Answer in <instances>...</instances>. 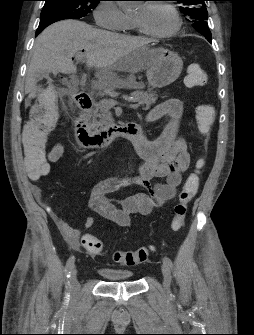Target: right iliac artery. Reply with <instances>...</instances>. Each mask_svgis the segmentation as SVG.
I'll return each mask as SVG.
<instances>
[{"label":"right iliac artery","mask_w":254,"mask_h":335,"mask_svg":"<svg viewBox=\"0 0 254 335\" xmlns=\"http://www.w3.org/2000/svg\"><path fill=\"white\" fill-rule=\"evenodd\" d=\"M74 262H75V256H70L69 259L67 260V263H66V279H67V282H66V293H65V302H68L69 300V296H70V289H71V286H70V282H69V278L71 276V271L72 269L74 268Z\"/></svg>","instance_id":"obj_1"}]
</instances>
